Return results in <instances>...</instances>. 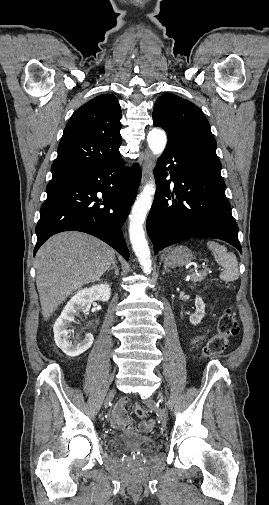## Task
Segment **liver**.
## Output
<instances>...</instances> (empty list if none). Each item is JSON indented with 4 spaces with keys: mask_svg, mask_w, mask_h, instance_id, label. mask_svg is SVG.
Segmentation results:
<instances>
[{
    "mask_svg": "<svg viewBox=\"0 0 269 505\" xmlns=\"http://www.w3.org/2000/svg\"><path fill=\"white\" fill-rule=\"evenodd\" d=\"M115 251L85 233L69 231L48 239L36 254V285L42 315L48 320L65 299L83 285L98 281Z\"/></svg>",
    "mask_w": 269,
    "mask_h": 505,
    "instance_id": "6515ba94",
    "label": "liver"
}]
</instances>
